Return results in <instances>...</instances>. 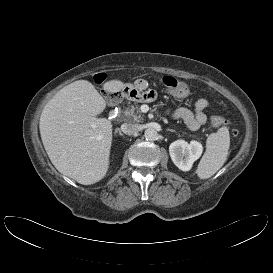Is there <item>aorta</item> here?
Returning a JSON list of instances; mask_svg holds the SVG:
<instances>
[{"label": "aorta", "mask_w": 273, "mask_h": 273, "mask_svg": "<svg viewBox=\"0 0 273 273\" xmlns=\"http://www.w3.org/2000/svg\"><path fill=\"white\" fill-rule=\"evenodd\" d=\"M145 139L148 141H154L157 139L158 133L155 129L149 128L145 130Z\"/></svg>", "instance_id": "762f6f07"}]
</instances>
